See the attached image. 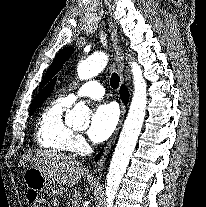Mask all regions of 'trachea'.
Returning a JSON list of instances; mask_svg holds the SVG:
<instances>
[{
    "label": "trachea",
    "instance_id": "1",
    "mask_svg": "<svg viewBox=\"0 0 206 207\" xmlns=\"http://www.w3.org/2000/svg\"><path fill=\"white\" fill-rule=\"evenodd\" d=\"M120 77L117 73H112L110 79V85L113 89H117L119 86Z\"/></svg>",
    "mask_w": 206,
    "mask_h": 207
}]
</instances>
